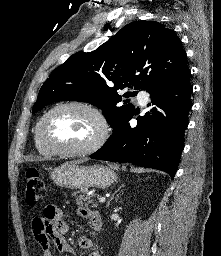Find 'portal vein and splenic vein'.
I'll return each mask as SVG.
<instances>
[{
    "label": "portal vein and splenic vein",
    "mask_w": 221,
    "mask_h": 256,
    "mask_svg": "<svg viewBox=\"0 0 221 256\" xmlns=\"http://www.w3.org/2000/svg\"><path fill=\"white\" fill-rule=\"evenodd\" d=\"M105 201H106L105 197H102V196L99 197V202H100V203H104Z\"/></svg>",
    "instance_id": "portal-vein-and-splenic-vein-1"
}]
</instances>
